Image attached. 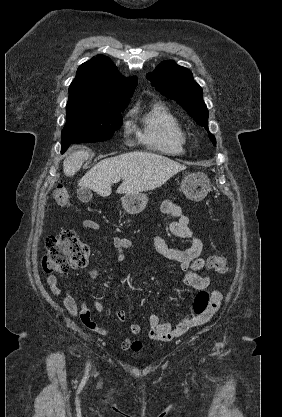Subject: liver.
I'll use <instances>...</instances> for the list:
<instances>
[{
    "mask_svg": "<svg viewBox=\"0 0 282 417\" xmlns=\"http://www.w3.org/2000/svg\"><path fill=\"white\" fill-rule=\"evenodd\" d=\"M87 158L86 150H76L67 156L63 162L66 176H74ZM185 168H187L185 164H180L167 156L135 150L99 160L80 178L78 184L92 188L100 196H109L113 180L122 178L123 182L116 192L139 194L143 190H153L157 186H162L171 176Z\"/></svg>",
    "mask_w": 282,
    "mask_h": 417,
    "instance_id": "obj_1",
    "label": "liver"
}]
</instances>
